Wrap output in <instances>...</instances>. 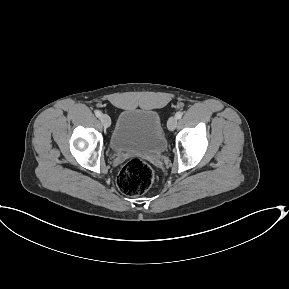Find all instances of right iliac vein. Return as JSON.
<instances>
[{"mask_svg": "<svg viewBox=\"0 0 289 289\" xmlns=\"http://www.w3.org/2000/svg\"><path fill=\"white\" fill-rule=\"evenodd\" d=\"M100 121L105 128L111 125V119L107 114H102L100 117Z\"/></svg>", "mask_w": 289, "mask_h": 289, "instance_id": "1", "label": "right iliac vein"}]
</instances>
